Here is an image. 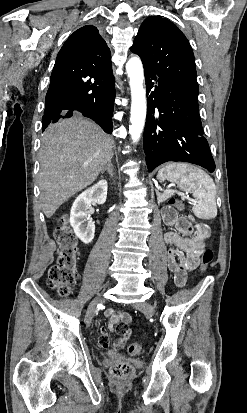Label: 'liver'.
Here are the masks:
<instances>
[{"label":"liver","mask_w":247,"mask_h":413,"mask_svg":"<svg viewBox=\"0 0 247 413\" xmlns=\"http://www.w3.org/2000/svg\"><path fill=\"white\" fill-rule=\"evenodd\" d=\"M113 144L109 134L81 114L47 126L39 152L38 182L47 219L72 194L94 182L111 160Z\"/></svg>","instance_id":"obj_1"}]
</instances>
